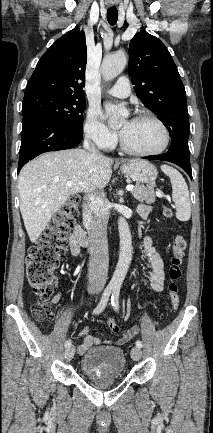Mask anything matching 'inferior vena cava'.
I'll list each match as a JSON object with an SVG mask.
<instances>
[{
  "instance_id": "602c4592",
  "label": "inferior vena cava",
  "mask_w": 213,
  "mask_h": 433,
  "mask_svg": "<svg viewBox=\"0 0 213 433\" xmlns=\"http://www.w3.org/2000/svg\"><path fill=\"white\" fill-rule=\"evenodd\" d=\"M83 147L94 155L101 154L88 136L84 139ZM107 199L104 192L89 193L84 197L83 221L89 236V285L90 292L102 291L107 280L109 254L107 241Z\"/></svg>"
}]
</instances>
